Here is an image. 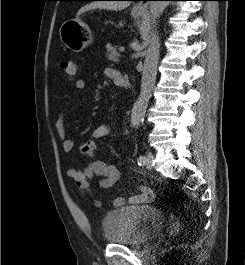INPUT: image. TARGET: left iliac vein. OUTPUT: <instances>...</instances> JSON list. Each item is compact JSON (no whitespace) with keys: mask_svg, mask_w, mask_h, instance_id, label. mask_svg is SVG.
<instances>
[{"mask_svg":"<svg viewBox=\"0 0 245 265\" xmlns=\"http://www.w3.org/2000/svg\"><path fill=\"white\" fill-rule=\"evenodd\" d=\"M153 158H154V156L151 152H148L146 154L144 165L146 166L147 169L153 168Z\"/></svg>","mask_w":245,"mask_h":265,"instance_id":"left-iliac-vein-1","label":"left iliac vein"}]
</instances>
